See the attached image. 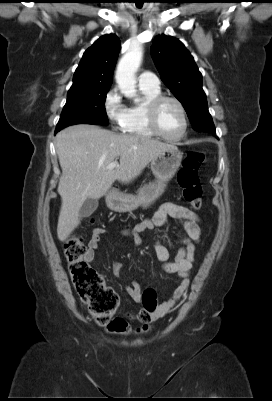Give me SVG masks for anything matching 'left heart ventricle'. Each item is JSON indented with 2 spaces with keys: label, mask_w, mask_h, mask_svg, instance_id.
I'll use <instances>...</instances> for the list:
<instances>
[{
  "label": "left heart ventricle",
  "mask_w": 272,
  "mask_h": 401,
  "mask_svg": "<svg viewBox=\"0 0 272 401\" xmlns=\"http://www.w3.org/2000/svg\"><path fill=\"white\" fill-rule=\"evenodd\" d=\"M159 126L170 137L180 135L184 128V121L179 107L173 102H166L159 111Z\"/></svg>",
  "instance_id": "1"
}]
</instances>
